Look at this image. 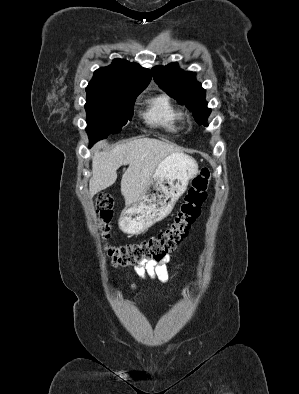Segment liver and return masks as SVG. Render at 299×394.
<instances>
[{
    "label": "liver",
    "instance_id": "liver-1",
    "mask_svg": "<svg viewBox=\"0 0 299 394\" xmlns=\"http://www.w3.org/2000/svg\"><path fill=\"white\" fill-rule=\"evenodd\" d=\"M102 146L103 142L96 145L92 157L89 192L94 195L113 185L118 168L129 165L121 179V193L126 205L140 199L161 161L180 151L171 143L148 137L119 144L110 151L101 152Z\"/></svg>",
    "mask_w": 299,
    "mask_h": 394
}]
</instances>
